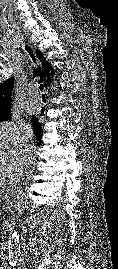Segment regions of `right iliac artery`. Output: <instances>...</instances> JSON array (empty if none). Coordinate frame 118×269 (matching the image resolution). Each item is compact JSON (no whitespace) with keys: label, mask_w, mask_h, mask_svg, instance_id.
I'll return each instance as SVG.
<instances>
[{"label":"right iliac artery","mask_w":118,"mask_h":269,"mask_svg":"<svg viewBox=\"0 0 118 269\" xmlns=\"http://www.w3.org/2000/svg\"><path fill=\"white\" fill-rule=\"evenodd\" d=\"M17 260H18L17 256H14V255L9 256V263L11 266H15L17 263Z\"/></svg>","instance_id":"right-iliac-artery-1"}]
</instances>
